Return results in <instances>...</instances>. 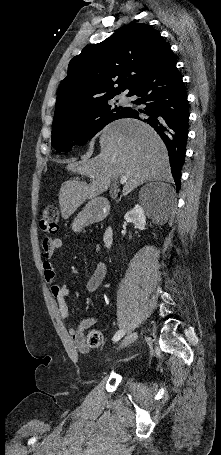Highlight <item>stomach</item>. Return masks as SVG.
Wrapping results in <instances>:
<instances>
[{
    "label": "stomach",
    "mask_w": 221,
    "mask_h": 455,
    "mask_svg": "<svg viewBox=\"0 0 221 455\" xmlns=\"http://www.w3.org/2000/svg\"><path fill=\"white\" fill-rule=\"evenodd\" d=\"M98 200L90 201L84 209L77 214L72 222V230L75 232L81 231L82 228L95 221L99 215V208L97 206Z\"/></svg>",
    "instance_id": "1"
}]
</instances>
